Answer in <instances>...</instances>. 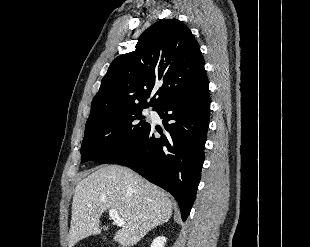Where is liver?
<instances>
[{"instance_id": "1", "label": "liver", "mask_w": 310, "mask_h": 247, "mask_svg": "<svg viewBox=\"0 0 310 247\" xmlns=\"http://www.w3.org/2000/svg\"><path fill=\"white\" fill-rule=\"evenodd\" d=\"M173 202L168 195L129 168L108 165L98 168L75 187L68 246L100 232L102 214L117 210L124 220L115 241L137 244L150 230L171 218Z\"/></svg>"}]
</instances>
